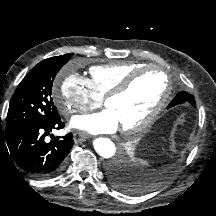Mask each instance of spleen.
Instances as JSON below:
<instances>
[{
	"mask_svg": "<svg viewBox=\"0 0 216 216\" xmlns=\"http://www.w3.org/2000/svg\"><path fill=\"white\" fill-rule=\"evenodd\" d=\"M139 162H140L142 165H148V163H147L146 161H144V160L139 159Z\"/></svg>",
	"mask_w": 216,
	"mask_h": 216,
	"instance_id": "3e777b00",
	"label": "spleen"
}]
</instances>
